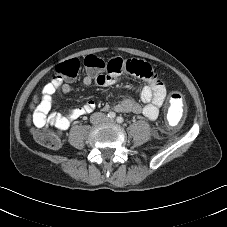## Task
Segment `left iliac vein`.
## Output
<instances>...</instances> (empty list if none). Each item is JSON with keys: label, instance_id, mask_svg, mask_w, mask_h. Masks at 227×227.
<instances>
[{"label": "left iliac vein", "instance_id": "obj_1", "mask_svg": "<svg viewBox=\"0 0 227 227\" xmlns=\"http://www.w3.org/2000/svg\"><path fill=\"white\" fill-rule=\"evenodd\" d=\"M109 123L113 122L112 120H108Z\"/></svg>", "mask_w": 227, "mask_h": 227}]
</instances>
